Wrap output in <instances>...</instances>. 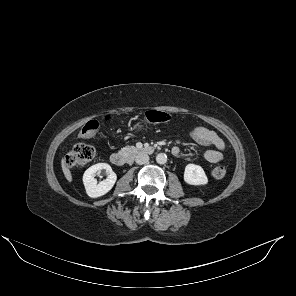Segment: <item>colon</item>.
<instances>
[{"label":"colon","instance_id":"colon-1","mask_svg":"<svg viewBox=\"0 0 296 296\" xmlns=\"http://www.w3.org/2000/svg\"><path fill=\"white\" fill-rule=\"evenodd\" d=\"M171 118L172 116L169 113L163 111L149 110L144 114L145 121L154 124L168 122ZM98 127L99 122L97 120H91L82 127L79 135L81 138H92L96 134ZM95 153L94 147L84 143H77L67 153L65 164L68 168L84 166L93 160ZM212 175L217 179L225 177V166H215L212 170Z\"/></svg>","mask_w":296,"mask_h":296}]
</instances>
